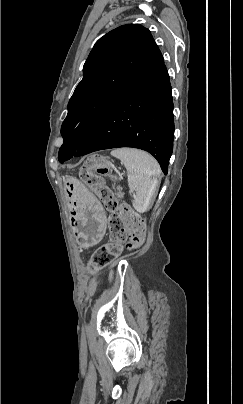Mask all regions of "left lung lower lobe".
Listing matches in <instances>:
<instances>
[{
  "instance_id": "left-lung-lower-lobe-1",
  "label": "left lung lower lobe",
  "mask_w": 243,
  "mask_h": 404,
  "mask_svg": "<svg viewBox=\"0 0 243 404\" xmlns=\"http://www.w3.org/2000/svg\"><path fill=\"white\" fill-rule=\"evenodd\" d=\"M173 137L171 85L163 65L103 114L72 157L133 147L152 154L167 174Z\"/></svg>"
}]
</instances>
